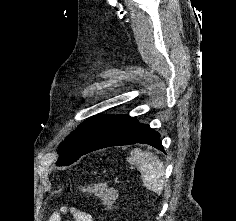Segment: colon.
Instances as JSON below:
<instances>
[{
  "label": "colon",
  "instance_id": "1",
  "mask_svg": "<svg viewBox=\"0 0 236 221\" xmlns=\"http://www.w3.org/2000/svg\"><path fill=\"white\" fill-rule=\"evenodd\" d=\"M82 192L99 199L108 210L117 205L118 191L104 182H95L81 188Z\"/></svg>",
  "mask_w": 236,
  "mask_h": 221
}]
</instances>
